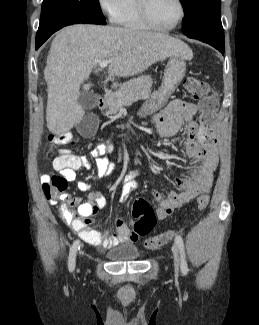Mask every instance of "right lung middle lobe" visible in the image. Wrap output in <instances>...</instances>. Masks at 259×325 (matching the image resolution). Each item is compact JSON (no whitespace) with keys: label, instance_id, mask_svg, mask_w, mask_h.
<instances>
[{"label":"right lung middle lobe","instance_id":"obj_1","mask_svg":"<svg viewBox=\"0 0 259 325\" xmlns=\"http://www.w3.org/2000/svg\"><path fill=\"white\" fill-rule=\"evenodd\" d=\"M36 39L71 24H106L99 0H44Z\"/></svg>","mask_w":259,"mask_h":325}]
</instances>
